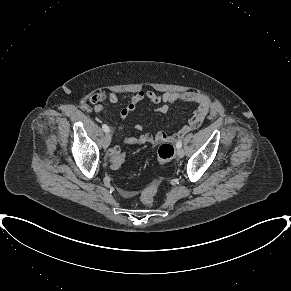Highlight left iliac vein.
<instances>
[{
  "mask_svg": "<svg viewBox=\"0 0 291 291\" xmlns=\"http://www.w3.org/2000/svg\"><path fill=\"white\" fill-rule=\"evenodd\" d=\"M184 155H185L184 150L182 148H178L177 156L182 158V157H184Z\"/></svg>",
  "mask_w": 291,
  "mask_h": 291,
  "instance_id": "left-iliac-vein-1",
  "label": "left iliac vein"
}]
</instances>
